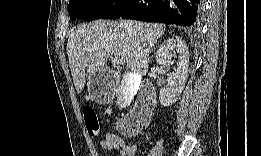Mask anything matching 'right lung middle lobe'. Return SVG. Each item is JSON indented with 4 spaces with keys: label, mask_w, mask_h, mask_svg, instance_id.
<instances>
[{
    "label": "right lung middle lobe",
    "mask_w": 261,
    "mask_h": 156,
    "mask_svg": "<svg viewBox=\"0 0 261 156\" xmlns=\"http://www.w3.org/2000/svg\"><path fill=\"white\" fill-rule=\"evenodd\" d=\"M118 0H70L68 12L70 19L76 18L86 21L101 18L113 7Z\"/></svg>",
    "instance_id": "1"
}]
</instances>
